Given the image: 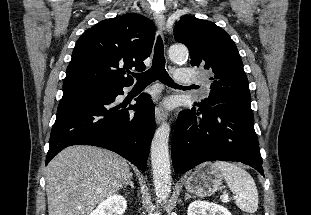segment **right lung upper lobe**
<instances>
[{
	"mask_svg": "<svg viewBox=\"0 0 311 215\" xmlns=\"http://www.w3.org/2000/svg\"><path fill=\"white\" fill-rule=\"evenodd\" d=\"M155 26L139 14L100 21L77 40L63 86L108 83L130 86L129 69L143 71L151 54Z\"/></svg>",
	"mask_w": 311,
	"mask_h": 215,
	"instance_id": "cb5924a9",
	"label": "right lung upper lobe"
}]
</instances>
